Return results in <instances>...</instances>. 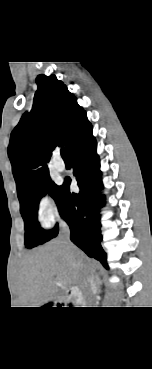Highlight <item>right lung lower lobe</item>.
I'll list each match as a JSON object with an SVG mask.
<instances>
[{
  "label": "right lung lower lobe",
  "instance_id": "1",
  "mask_svg": "<svg viewBox=\"0 0 152 369\" xmlns=\"http://www.w3.org/2000/svg\"><path fill=\"white\" fill-rule=\"evenodd\" d=\"M97 143L92 129L81 137L69 151L80 192L70 191L71 179L66 177L61 186L57 205L61 217L71 230V241L81 248L89 257L99 260L105 268L106 253L101 246L99 204L104 196L98 191L103 188L101 181L99 157L96 153ZM58 234L56 231L55 237Z\"/></svg>",
  "mask_w": 152,
  "mask_h": 369
}]
</instances>
